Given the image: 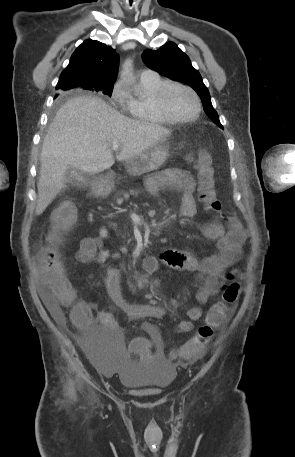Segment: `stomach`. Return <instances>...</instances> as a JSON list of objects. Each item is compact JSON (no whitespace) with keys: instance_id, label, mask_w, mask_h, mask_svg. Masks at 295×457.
<instances>
[{"instance_id":"stomach-1","label":"stomach","mask_w":295,"mask_h":457,"mask_svg":"<svg viewBox=\"0 0 295 457\" xmlns=\"http://www.w3.org/2000/svg\"><path fill=\"white\" fill-rule=\"evenodd\" d=\"M170 156V147L167 140L161 141L157 145L136 155L127 162V171L133 176H139L157 169ZM114 187L113 174L109 173L92 183V189L98 194H109Z\"/></svg>"}]
</instances>
